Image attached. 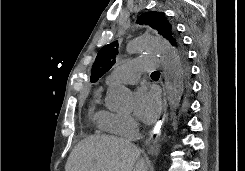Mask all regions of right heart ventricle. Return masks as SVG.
Instances as JSON below:
<instances>
[{
    "label": "right heart ventricle",
    "mask_w": 245,
    "mask_h": 171,
    "mask_svg": "<svg viewBox=\"0 0 245 171\" xmlns=\"http://www.w3.org/2000/svg\"><path fill=\"white\" fill-rule=\"evenodd\" d=\"M99 98L100 90H98L95 94L94 104L91 107V114L93 123L96 124L100 129H102L105 119L111 114V112L96 108V104L98 103Z\"/></svg>",
    "instance_id": "e07e8e85"
}]
</instances>
